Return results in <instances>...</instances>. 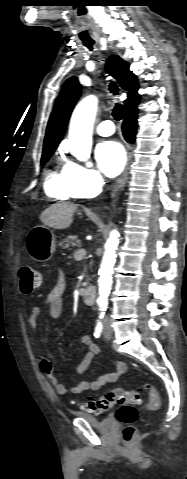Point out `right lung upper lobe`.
Listing matches in <instances>:
<instances>
[{"label": "right lung upper lobe", "mask_w": 187, "mask_h": 479, "mask_svg": "<svg viewBox=\"0 0 187 479\" xmlns=\"http://www.w3.org/2000/svg\"><path fill=\"white\" fill-rule=\"evenodd\" d=\"M106 68L117 79L119 85L128 90L127 99L124 102L126 110L137 106L140 99V95L137 93L138 80L129 70V64L115 55L108 60ZM80 93L81 86L77 78H69L63 86L48 122L43 152L55 150L58 146Z\"/></svg>", "instance_id": "right-lung-upper-lobe-1"}]
</instances>
